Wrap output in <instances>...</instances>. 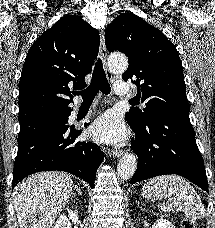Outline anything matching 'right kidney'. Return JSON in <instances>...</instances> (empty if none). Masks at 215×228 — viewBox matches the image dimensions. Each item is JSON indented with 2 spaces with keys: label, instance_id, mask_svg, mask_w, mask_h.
Wrapping results in <instances>:
<instances>
[{
  "label": "right kidney",
  "instance_id": "right-kidney-1",
  "mask_svg": "<svg viewBox=\"0 0 215 228\" xmlns=\"http://www.w3.org/2000/svg\"><path fill=\"white\" fill-rule=\"evenodd\" d=\"M53 228H71V224L66 216H59Z\"/></svg>",
  "mask_w": 215,
  "mask_h": 228
}]
</instances>
